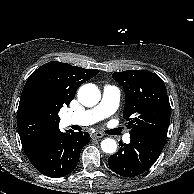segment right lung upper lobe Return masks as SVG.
<instances>
[{"label": "right lung upper lobe", "mask_w": 194, "mask_h": 194, "mask_svg": "<svg viewBox=\"0 0 194 194\" xmlns=\"http://www.w3.org/2000/svg\"><path fill=\"white\" fill-rule=\"evenodd\" d=\"M99 70L48 62L27 79L18 107V131L23 149L59 131L58 111L73 100L79 86Z\"/></svg>", "instance_id": "cb5924a9"}]
</instances>
